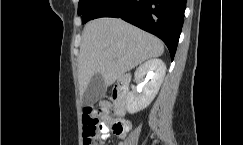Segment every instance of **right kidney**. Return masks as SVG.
I'll use <instances>...</instances> for the list:
<instances>
[{
	"label": "right kidney",
	"instance_id": "right-kidney-1",
	"mask_svg": "<svg viewBox=\"0 0 243 145\" xmlns=\"http://www.w3.org/2000/svg\"><path fill=\"white\" fill-rule=\"evenodd\" d=\"M165 73L164 62L157 58L147 60L136 69L135 79L141 82L142 91L140 95H137L135 91L128 94L126 103L128 113L134 114L149 106L160 89Z\"/></svg>",
	"mask_w": 243,
	"mask_h": 145
}]
</instances>
